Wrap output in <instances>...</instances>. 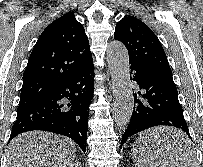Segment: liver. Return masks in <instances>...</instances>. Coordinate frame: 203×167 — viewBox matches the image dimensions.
I'll list each match as a JSON object with an SVG mask.
<instances>
[{
	"label": "liver",
	"instance_id": "1",
	"mask_svg": "<svg viewBox=\"0 0 203 167\" xmlns=\"http://www.w3.org/2000/svg\"><path fill=\"white\" fill-rule=\"evenodd\" d=\"M182 136V131L170 127H155L140 134L144 146L166 167H189L183 162L186 151L176 149ZM75 155L76 148L71 139L49 132L31 131L11 140L6 167H70Z\"/></svg>",
	"mask_w": 203,
	"mask_h": 167
}]
</instances>
